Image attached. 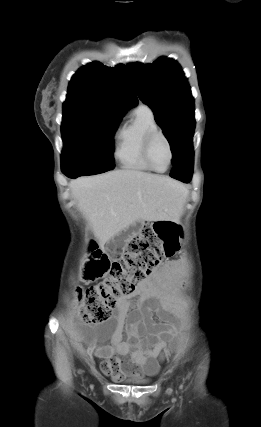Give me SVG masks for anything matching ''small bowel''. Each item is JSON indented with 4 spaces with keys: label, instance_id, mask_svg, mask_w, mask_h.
<instances>
[{
    "label": "small bowel",
    "instance_id": "small-bowel-1",
    "mask_svg": "<svg viewBox=\"0 0 261 427\" xmlns=\"http://www.w3.org/2000/svg\"><path fill=\"white\" fill-rule=\"evenodd\" d=\"M175 267L176 263L172 262L165 268L154 269L131 295L119 299L112 322L105 329L100 332L88 328L78 330V336L86 343L90 353L103 359L101 368L104 372L117 379L138 377L139 373L125 366L121 360V357L129 355L133 365L140 367L145 374L153 375L158 372L159 357L177 349V341L173 338L174 329L153 319L155 303L147 292L150 285L159 283ZM137 296L141 300L128 314L133 306L132 299ZM124 330L126 340H123ZM109 331L110 344L98 346L99 338Z\"/></svg>",
    "mask_w": 261,
    "mask_h": 427
}]
</instances>
